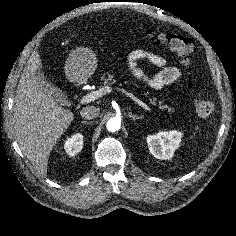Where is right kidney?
<instances>
[{
	"mask_svg": "<svg viewBox=\"0 0 236 236\" xmlns=\"http://www.w3.org/2000/svg\"><path fill=\"white\" fill-rule=\"evenodd\" d=\"M83 148V135L76 133L68 138L64 143V150L69 156H75Z\"/></svg>",
	"mask_w": 236,
	"mask_h": 236,
	"instance_id": "1",
	"label": "right kidney"
}]
</instances>
